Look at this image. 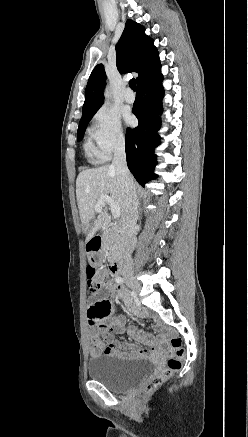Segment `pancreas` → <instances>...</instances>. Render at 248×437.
<instances>
[{"instance_id": "pancreas-1", "label": "pancreas", "mask_w": 248, "mask_h": 437, "mask_svg": "<svg viewBox=\"0 0 248 437\" xmlns=\"http://www.w3.org/2000/svg\"><path fill=\"white\" fill-rule=\"evenodd\" d=\"M106 247L109 251L108 259L112 261L118 257L124 249V240L117 230H111L106 236Z\"/></svg>"}]
</instances>
